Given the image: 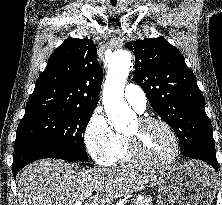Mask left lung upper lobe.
Listing matches in <instances>:
<instances>
[{
  "label": "left lung upper lobe",
  "mask_w": 222,
  "mask_h": 205,
  "mask_svg": "<svg viewBox=\"0 0 222 205\" xmlns=\"http://www.w3.org/2000/svg\"><path fill=\"white\" fill-rule=\"evenodd\" d=\"M134 51V80L152 108L175 131L181 153L216 158L212 125L196 77L183 56L163 38L126 43Z\"/></svg>",
  "instance_id": "1"
}]
</instances>
